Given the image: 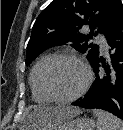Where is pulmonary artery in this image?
<instances>
[{"instance_id": "obj_1", "label": "pulmonary artery", "mask_w": 123, "mask_h": 130, "mask_svg": "<svg viewBox=\"0 0 123 130\" xmlns=\"http://www.w3.org/2000/svg\"><path fill=\"white\" fill-rule=\"evenodd\" d=\"M97 40H98L99 43H100L101 49H102L103 51H107V50H108V44H107L106 39H105L103 36L99 35V36L97 37Z\"/></svg>"}]
</instances>
